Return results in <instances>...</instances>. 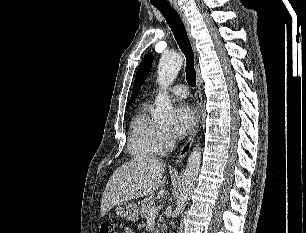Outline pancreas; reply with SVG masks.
Wrapping results in <instances>:
<instances>
[{
  "label": "pancreas",
  "mask_w": 306,
  "mask_h": 233,
  "mask_svg": "<svg viewBox=\"0 0 306 233\" xmlns=\"http://www.w3.org/2000/svg\"><path fill=\"white\" fill-rule=\"evenodd\" d=\"M155 202V196L152 194L143 200L140 201V214L142 217H147L148 216V208L153 206ZM161 222H163V217L162 215L159 216V220L157 222V227L155 229L154 233H164L165 226L161 225Z\"/></svg>",
  "instance_id": "cf45deb5"
}]
</instances>
